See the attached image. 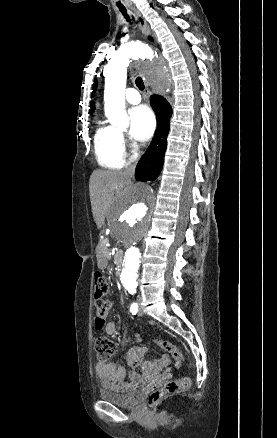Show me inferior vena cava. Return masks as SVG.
I'll return each mask as SVG.
<instances>
[{
	"instance_id": "inferior-vena-cava-1",
	"label": "inferior vena cava",
	"mask_w": 277,
	"mask_h": 438,
	"mask_svg": "<svg viewBox=\"0 0 277 438\" xmlns=\"http://www.w3.org/2000/svg\"><path fill=\"white\" fill-rule=\"evenodd\" d=\"M136 166L137 162H135V164H131V166H128V168H125L124 174H126V176H129V178H134Z\"/></svg>"
}]
</instances>
